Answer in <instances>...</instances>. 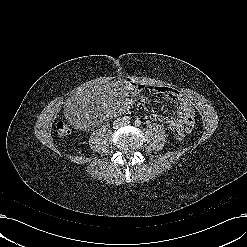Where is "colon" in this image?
<instances>
[{
  "instance_id": "5ec220e1",
  "label": "colon",
  "mask_w": 247,
  "mask_h": 247,
  "mask_svg": "<svg viewBox=\"0 0 247 247\" xmlns=\"http://www.w3.org/2000/svg\"><path fill=\"white\" fill-rule=\"evenodd\" d=\"M56 132L61 137L67 136L70 133L69 125L63 120L58 121L56 123ZM175 137L179 141L183 140L185 137L184 131H176Z\"/></svg>"
}]
</instances>
